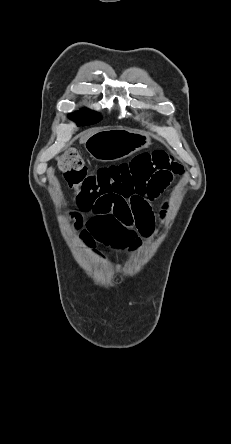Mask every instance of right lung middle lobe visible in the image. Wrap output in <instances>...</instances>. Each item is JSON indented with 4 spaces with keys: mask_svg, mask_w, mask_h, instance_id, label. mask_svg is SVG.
Segmentation results:
<instances>
[{
    "mask_svg": "<svg viewBox=\"0 0 231 444\" xmlns=\"http://www.w3.org/2000/svg\"><path fill=\"white\" fill-rule=\"evenodd\" d=\"M70 118L78 123V126L91 125L101 120V116L91 110H85L78 112L76 115H70Z\"/></svg>",
    "mask_w": 231,
    "mask_h": 444,
    "instance_id": "right-lung-middle-lobe-1",
    "label": "right lung middle lobe"
}]
</instances>
